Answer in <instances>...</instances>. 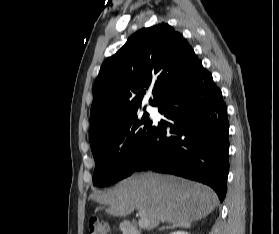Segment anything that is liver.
I'll list each match as a JSON object with an SVG mask.
<instances>
[{
	"mask_svg": "<svg viewBox=\"0 0 279 234\" xmlns=\"http://www.w3.org/2000/svg\"><path fill=\"white\" fill-rule=\"evenodd\" d=\"M91 199L109 206L107 213L125 217L135 209L148 218V228L160 222L189 223L209 215L218 204L216 193L206 185L183 178L141 173L132 175L108 192Z\"/></svg>",
	"mask_w": 279,
	"mask_h": 234,
	"instance_id": "1",
	"label": "liver"
}]
</instances>
